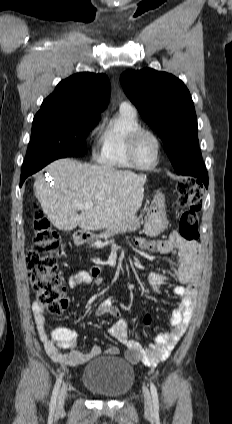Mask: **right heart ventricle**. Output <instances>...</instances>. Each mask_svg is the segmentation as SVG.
Segmentation results:
<instances>
[{"label":"right heart ventricle","mask_w":232,"mask_h":424,"mask_svg":"<svg viewBox=\"0 0 232 424\" xmlns=\"http://www.w3.org/2000/svg\"><path fill=\"white\" fill-rule=\"evenodd\" d=\"M141 127L142 123L133 108L120 107L118 113L100 130L98 162L111 168H133L127 154L128 140Z\"/></svg>","instance_id":"1"}]
</instances>
